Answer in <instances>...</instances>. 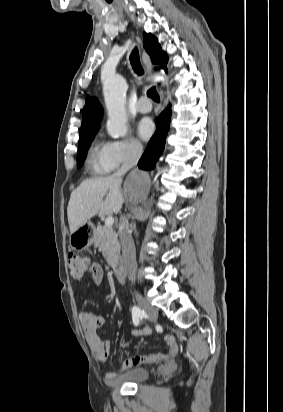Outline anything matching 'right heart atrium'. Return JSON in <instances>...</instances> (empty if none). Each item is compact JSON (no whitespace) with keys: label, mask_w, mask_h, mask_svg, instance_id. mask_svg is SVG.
<instances>
[{"label":"right heart atrium","mask_w":283,"mask_h":412,"mask_svg":"<svg viewBox=\"0 0 283 412\" xmlns=\"http://www.w3.org/2000/svg\"><path fill=\"white\" fill-rule=\"evenodd\" d=\"M142 151V144L135 138L115 139L106 144L107 159L113 168L135 161Z\"/></svg>","instance_id":"obj_1"}]
</instances>
